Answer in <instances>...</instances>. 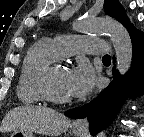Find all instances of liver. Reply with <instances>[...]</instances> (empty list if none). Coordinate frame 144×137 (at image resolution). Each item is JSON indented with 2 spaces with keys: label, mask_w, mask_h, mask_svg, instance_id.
I'll return each mask as SVG.
<instances>
[{
  "label": "liver",
  "mask_w": 144,
  "mask_h": 137,
  "mask_svg": "<svg viewBox=\"0 0 144 137\" xmlns=\"http://www.w3.org/2000/svg\"><path fill=\"white\" fill-rule=\"evenodd\" d=\"M71 121L62 113L42 106H22L10 110L0 127L2 132H35L50 137H58L66 132Z\"/></svg>",
  "instance_id": "1"
}]
</instances>
